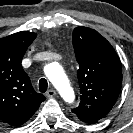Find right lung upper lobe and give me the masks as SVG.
Wrapping results in <instances>:
<instances>
[{
  "mask_svg": "<svg viewBox=\"0 0 133 133\" xmlns=\"http://www.w3.org/2000/svg\"><path fill=\"white\" fill-rule=\"evenodd\" d=\"M37 34L28 31L0 39V120L18 126L29 120L45 96L37 93L21 61Z\"/></svg>",
  "mask_w": 133,
  "mask_h": 133,
  "instance_id": "1",
  "label": "right lung upper lobe"
}]
</instances>
